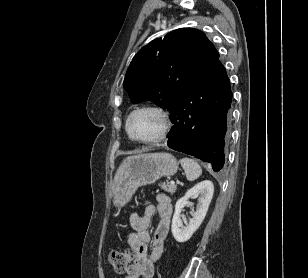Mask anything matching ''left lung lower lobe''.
<instances>
[{
	"instance_id": "obj_1",
	"label": "left lung lower lobe",
	"mask_w": 308,
	"mask_h": 278,
	"mask_svg": "<svg viewBox=\"0 0 308 278\" xmlns=\"http://www.w3.org/2000/svg\"><path fill=\"white\" fill-rule=\"evenodd\" d=\"M232 92L220 61L198 77L170 109L173 128L167 145L203 161L219 171L225 162L229 138Z\"/></svg>"
}]
</instances>
